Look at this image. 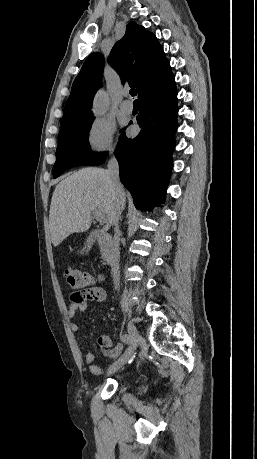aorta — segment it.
Listing matches in <instances>:
<instances>
[{
	"label": "aorta",
	"mask_w": 257,
	"mask_h": 459,
	"mask_svg": "<svg viewBox=\"0 0 257 459\" xmlns=\"http://www.w3.org/2000/svg\"><path fill=\"white\" fill-rule=\"evenodd\" d=\"M105 109V97L102 92H100L94 102L93 111L95 114L99 115L104 112Z\"/></svg>",
	"instance_id": "1"
}]
</instances>
